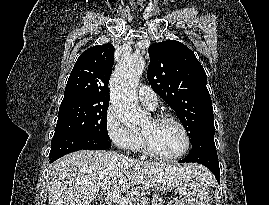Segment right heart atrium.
Returning a JSON list of instances; mask_svg holds the SVG:
<instances>
[{"label":"right heart atrium","instance_id":"obj_1","mask_svg":"<svg viewBox=\"0 0 269 205\" xmlns=\"http://www.w3.org/2000/svg\"><path fill=\"white\" fill-rule=\"evenodd\" d=\"M104 128L111 142L120 149L131 151L137 149L140 144V137L120 122L112 107L106 111Z\"/></svg>","mask_w":269,"mask_h":205}]
</instances>
